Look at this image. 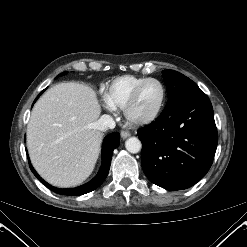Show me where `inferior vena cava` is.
I'll return each instance as SVG.
<instances>
[{"instance_id": "inferior-vena-cava-1", "label": "inferior vena cava", "mask_w": 247, "mask_h": 247, "mask_svg": "<svg viewBox=\"0 0 247 247\" xmlns=\"http://www.w3.org/2000/svg\"><path fill=\"white\" fill-rule=\"evenodd\" d=\"M95 125L96 129L106 131L115 127V121L109 115H102Z\"/></svg>"}]
</instances>
